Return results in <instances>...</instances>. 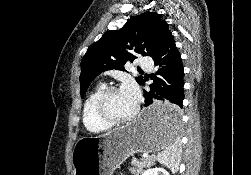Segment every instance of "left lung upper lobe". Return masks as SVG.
<instances>
[{"label":"left lung upper lobe","instance_id":"5c2ea615","mask_svg":"<svg viewBox=\"0 0 251 175\" xmlns=\"http://www.w3.org/2000/svg\"><path fill=\"white\" fill-rule=\"evenodd\" d=\"M168 27L162 15L147 11L131 18L120 30L106 32L88 48L81 61V96L100 73L124 70L123 65L135 60L138 54L152 57L170 33ZM136 80L139 84L143 82L141 76Z\"/></svg>","mask_w":251,"mask_h":175}]
</instances>
